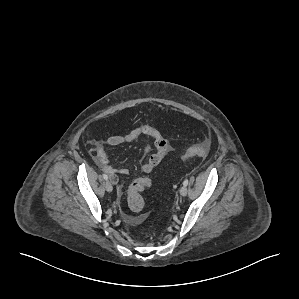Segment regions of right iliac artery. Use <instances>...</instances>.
Masks as SVG:
<instances>
[{
    "mask_svg": "<svg viewBox=\"0 0 299 299\" xmlns=\"http://www.w3.org/2000/svg\"><path fill=\"white\" fill-rule=\"evenodd\" d=\"M103 178L105 179V180H108V176H107V174H103Z\"/></svg>",
    "mask_w": 299,
    "mask_h": 299,
    "instance_id": "right-iliac-artery-1",
    "label": "right iliac artery"
}]
</instances>
